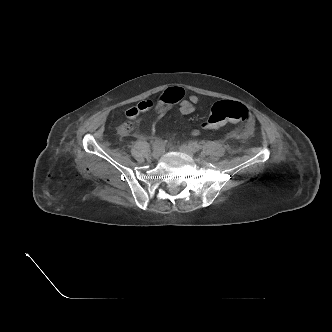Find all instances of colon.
Wrapping results in <instances>:
<instances>
[{"label": "colon", "instance_id": "5ec220e1", "mask_svg": "<svg viewBox=\"0 0 332 332\" xmlns=\"http://www.w3.org/2000/svg\"><path fill=\"white\" fill-rule=\"evenodd\" d=\"M183 96V93L177 87L170 88L164 92L160 101L166 103H174L179 101ZM154 103L151 100H144L136 105L132 106L126 111L128 118H136L138 115L145 113L152 109ZM249 122L251 121V114L249 110L241 103L223 100L214 103L211 108L209 117L202 124V127L206 130H216L227 122ZM133 130V125L130 122H126L122 126L124 133H130Z\"/></svg>", "mask_w": 332, "mask_h": 332}]
</instances>
